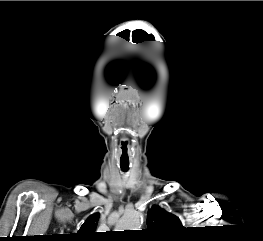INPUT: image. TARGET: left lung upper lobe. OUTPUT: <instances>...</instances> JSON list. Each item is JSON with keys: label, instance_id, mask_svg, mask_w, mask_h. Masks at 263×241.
Wrapping results in <instances>:
<instances>
[{"label": "left lung upper lobe", "instance_id": "5c2ea615", "mask_svg": "<svg viewBox=\"0 0 263 241\" xmlns=\"http://www.w3.org/2000/svg\"><path fill=\"white\" fill-rule=\"evenodd\" d=\"M147 226L162 240H178L184 229L177 216L155 205L148 211Z\"/></svg>", "mask_w": 263, "mask_h": 241}]
</instances>
